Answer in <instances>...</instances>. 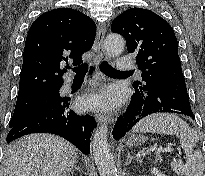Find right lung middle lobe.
I'll list each match as a JSON object with an SVG mask.
<instances>
[{"label":"right lung middle lobe","mask_w":205,"mask_h":176,"mask_svg":"<svg viewBox=\"0 0 205 176\" xmlns=\"http://www.w3.org/2000/svg\"><path fill=\"white\" fill-rule=\"evenodd\" d=\"M59 89V87L46 89L28 96L17 98L14 114L9 123V127L12 128L16 126L40 105L59 96Z\"/></svg>","instance_id":"dd1d6c3e"}]
</instances>
